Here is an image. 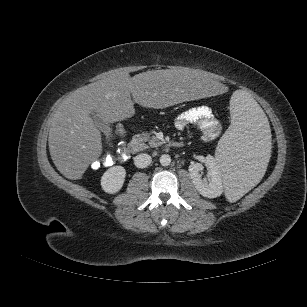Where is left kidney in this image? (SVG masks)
<instances>
[{"instance_id": "1", "label": "left kidney", "mask_w": 307, "mask_h": 307, "mask_svg": "<svg viewBox=\"0 0 307 307\" xmlns=\"http://www.w3.org/2000/svg\"><path fill=\"white\" fill-rule=\"evenodd\" d=\"M205 166L208 169V178L201 177L199 172L202 170V165L200 163H194L189 166L190 178L202 196L216 198L223 192V177L220 168L211 155L206 157Z\"/></svg>"}]
</instances>
